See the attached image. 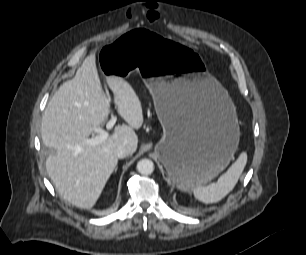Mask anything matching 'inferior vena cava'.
Masks as SVG:
<instances>
[{"instance_id":"602c4592","label":"inferior vena cava","mask_w":306,"mask_h":255,"mask_svg":"<svg viewBox=\"0 0 306 255\" xmlns=\"http://www.w3.org/2000/svg\"><path fill=\"white\" fill-rule=\"evenodd\" d=\"M132 152H133L132 147L127 144L118 146L115 151L117 158H120V159L131 155Z\"/></svg>"}]
</instances>
